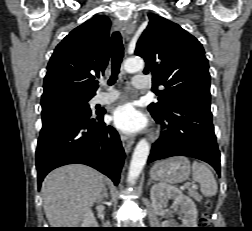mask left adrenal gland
Returning <instances> with one entry per match:
<instances>
[{"label": "left adrenal gland", "mask_w": 252, "mask_h": 231, "mask_svg": "<svg viewBox=\"0 0 252 231\" xmlns=\"http://www.w3.org/2000/svg\"><path fill=\"white\" fill-rule=\"evenodd\" d=\"M152 183V180L149 179L147 185L149 186Z\"/></svg>", "instance_id": "obj_1"}]
</instances>
